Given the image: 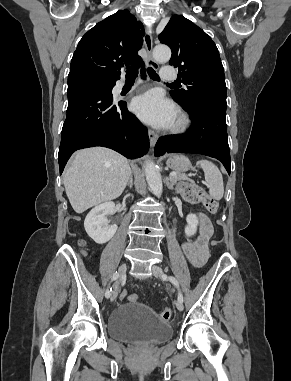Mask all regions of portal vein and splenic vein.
<instances>
[{
  "instance_id": "18ae733b",
  "label": "portal vein and splenic vein",
  "mask_w": 291,
  "mask_h": 381,
  "mask_svg": "<svg viewBox=\"0 0 291 381\" xmlns=\"http://www.w3.org/2000/svg\"><path fill=\"white\" fill-rule=\"evenodd\" d=\"M170 178H173V177H175L176 176V173H174V172H172V173H170Z\"/></svg>"
}]
</instances>
